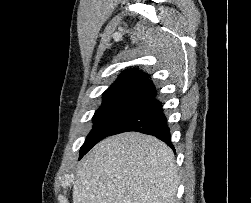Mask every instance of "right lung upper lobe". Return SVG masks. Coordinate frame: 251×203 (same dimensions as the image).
<instances>
[{
    "label": "right lung upper lobe",
    "mask_w": 251,
    "mask_h": 203,
    "mask_svg": "<svg viewBox=\"0 0 251 203\" xmlns=\"http://www.w3.org/2000/svg\"><path fill=\"white\" fill-rule=\"evenodd\" d=\"M160 105L147 74L126 70L105 92L101 107L120 106L150 110Z\"/></svg>",
    "instance_id": "obj_1"
}]
</instances>
